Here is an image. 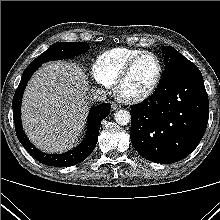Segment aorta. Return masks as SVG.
<instances>
[{"mask_svg":"<svg viewBox=\"0 0 220 220\" xmlns=\"http://www.w3.org/2000/svg\"><path fill=\"white\" fill-rule=\"evenodd\" d=\"M115 121L119 125H127L131 120V115L127 110L120 109L114 114Z\"/></svg>","mask_w":220,"mask_h":220,"instance_id":"762f6f07","label":"aorta"}]
</instances>
